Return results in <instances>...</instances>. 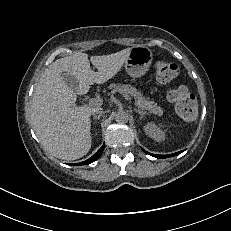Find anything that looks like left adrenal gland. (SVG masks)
<instances>
[{
    "instance_id": "obj_1",
    "label": "left adrenal gland",
    "mask_w": 231,
    "mask_h": 231,
    "mask_svg": "<svg viewBox=\"0 0 231 231\" xmlns=\"http://www.w3.org/2000/svg\"><path fill=\"white\" fill-rule=\"evenodd\" d=\"M134 111L140 114V118H141V119H142V118H143V116L146 114V112L141 111L140 109H136V108H134Z\"/></svg>"
}]
</instances>
